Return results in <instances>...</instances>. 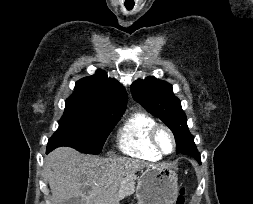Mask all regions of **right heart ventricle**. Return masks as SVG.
<instances>
[{
    "mask_svg": "<svg viewBox=\"0 0 253 204\" xmlns=\"http://www.w3.org/2000/svg\"><path fill=\"white\" fill-rule=\"evenodd\" d=\"M156 121L144 112H135L122 124L118 134L120 149L131 156L158 161L162 156L152 146L150 133Z\"/></svg>",
    "mask_w": 253,
    "mask_h": 204,
    "instance_id": "1",
    "label": "right heart ventricle"
}]
</instances>
